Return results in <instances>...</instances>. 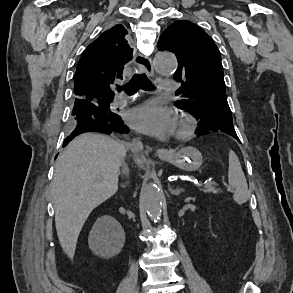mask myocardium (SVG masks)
I'll return each instance as SVG.
<instances>
[{
  "label": "myocardium",
  "instance_id": "f54148a6",
  "mask_svg": "<svg viewBox=\"0 0 293 293\" xmlns=\"http://www.w3.org/2000/svg\"><path fill=\"white\" fill-rule=\"evenodd\" d=\"M195 119L187 114L179 115L176 119L175 136L178 139H186L192 136L196 130Z\"/></svg>",
  "mask_w": 293,
  "mask_h": 293
}]
</instances>
